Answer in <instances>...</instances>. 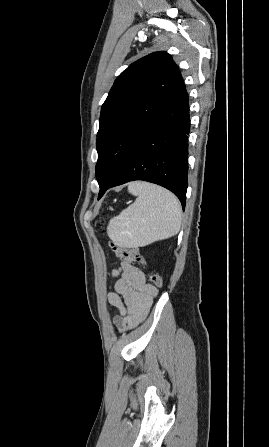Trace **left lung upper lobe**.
Masks as SVG:
<instances>
[{"mask_svg":"<svg viewBox=\"0 0 269 447\" xmlns=\"http://www.w3.org/2000/svg\"><path fill=\"white\" fill-rule=\"evenodd\" d=\"M180 77L166 52L139 59L117 77L102 105L96 139L100 187L114 181L145 133L165 114Z\"/></svg>","mask_w":269,"mask_h":447,"instance_id":"left-lung-upper-lobe-1","label":"left lung upper lobe"}]
</instances>
